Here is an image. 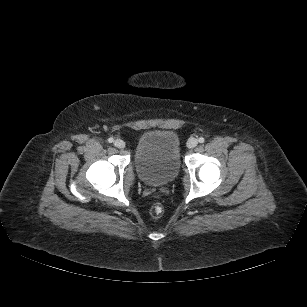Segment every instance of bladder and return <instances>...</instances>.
Listing matches in <instances>:
<instances>
[{
	"label": "bladder",
	"mask_w": 307,
	"mask_h": 307,
	"mask_svg": "<svg viewBox=\"0 0 307 307\" xmlns=\"http://www.w3.org/2000/svg\"><path fill=\"white\" fill-rule=\"evenodd\" d=\"M134 166L146 185L161 187L172 182L181 167L177 135L170 130L145 132L136 145Z\"/></svg>",
	"instance_id": "1"
}]
</instances>
